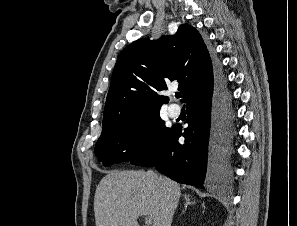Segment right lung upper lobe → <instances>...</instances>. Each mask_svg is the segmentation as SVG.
I'll return each instance as SVG.
<instances>
[{
	"mask_svg": "<svg viewBox=\"0 0 297 226\" xmlns=\"http://www.w3.org/2000/svg\"><path fill=\"white\" fill-rule=\"evenodd\" d=\"M214 79L207 47L199 32L188 24L173 36L157 41L140 39L118 56L107 95L104 120L114 122L129 116L160 110L168 97L158 95L168 81L177 80L184 99L206 90Z\"/></svg>",
	"mask_w": 297,
	"mask_h": 226,
	"instance_id": "right-lung-upper-lobe-1",
	"label": "right lung upper lobe"
}]
</instances>
